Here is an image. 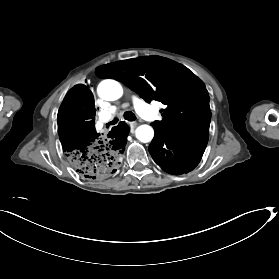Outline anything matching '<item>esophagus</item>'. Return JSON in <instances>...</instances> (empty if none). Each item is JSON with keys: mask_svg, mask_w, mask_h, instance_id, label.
Masks as SVG:
<instances>
[{"mask_svg": "<svg viewBox=\"0 0 279 279\" xmlns=\"http://www.w3.org/2000/svg\"><path fill=\"white\" fill-rule=\"evenodd\" d=\"M137 125H138L137 122H130V123H129V126H130L131 128H135Z\"/></svg>", "mask_w": 279, "mask_h": 279, "instance_id": "34e87169", "label": "esophagus"}]
</instances>
